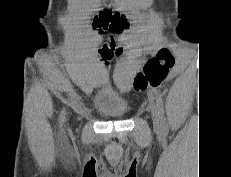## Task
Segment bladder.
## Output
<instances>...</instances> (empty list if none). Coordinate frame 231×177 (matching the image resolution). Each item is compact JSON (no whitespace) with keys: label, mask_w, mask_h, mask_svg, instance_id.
I'll use <instances>...</instances> for the list:
<instances>
[{"label":"bladder","mask_w":231,"mask_h":177,"mask_svg":"<svg viewBox=\"0 0 231 177\" xmlns=\"http://www.w3.org/2000/svg\"><path fill=\"white\" fill-rule=\"evenodd\" d=\"M94 105L103 116L108 118L120 119L129 111L127 100L109 89H101L96 93Z\"/></svg>","instance_id":"bladder-1"}]
</instances>
